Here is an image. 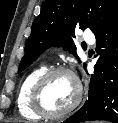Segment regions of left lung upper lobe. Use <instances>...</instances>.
<instances>
[{
	"label": "left lung upper lobe",
	"instance_id": "1",
	"mask_svg": "<svg viewBox=\"0 0 118 123\" xmlns=\"http://www.w3.org/2000/svg\"><path fill=\"white\" fill-rule=\"evenodd\" d=\"M118 15V0H46L32 24L18 73L50 46H62L76 57L75 29L98 34Z\"/></svg>",
	"mask_w": 118,
	"mask_h": 123
}]
</instances>
